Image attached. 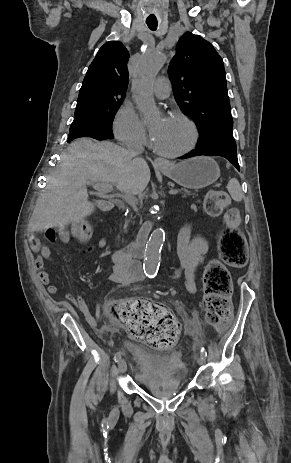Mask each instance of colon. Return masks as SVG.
<instances>
[{"label": "colon", "instance_id": "1", "mask_svg": "<svg viewBox=\"0 0 291 463\" xmlns=\"http://www.w3.org/2000/svg\"><path fill=\"white\" fill-rule=\"evenodd\" d=\"M230 197L222 191H212L207 196L204 206L211 214L227 209ZM240 214L236 209H227L225 215L226 228L219 241V253L222 260L233 267L246 264V241L239 230ZM63 233H59V238ZM70 236L79 242L91 237L89 225L77 220L70 231ZM48 241L54 242L57 233L49 228L45 232ZM204 307L208 322L216 327H223L232 318L233 308L230 301L232 291L227 269L218 262H212L204 275ZM109 314L120 323L127 332L159 349H167L176 341L178 324L175 318L165 309L145 299H132L127 302L112 303Z\"/></svg>", "mask_w": 291, "mask_h": 463}]
</instances>
